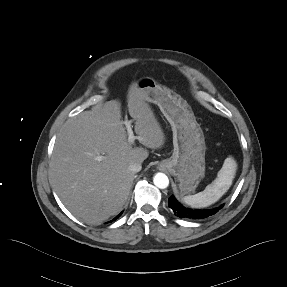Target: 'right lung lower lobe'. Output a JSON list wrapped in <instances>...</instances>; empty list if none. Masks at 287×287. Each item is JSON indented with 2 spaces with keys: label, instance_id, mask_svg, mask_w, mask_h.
I'll return each instance as SVG.
<instances>
[{
  "label": "right lung lower lobe",
  "instance_id": "obj_1",
  "mask_svg": "<svg viewBox=\"0 0 287 287\" xmlns=\"http://www.w3.org/2000/svg\"><path fill=\"white\" fill-rule=\"evenodd\" d=\"M122 214V212L118 215V216H116L114 219H113V221L114 220H116L117 218H119V216Z\"/></svg>",
  "mask_w": 287,
  "mask_h": 287
}]
</instances>
